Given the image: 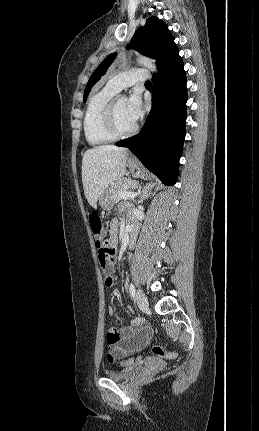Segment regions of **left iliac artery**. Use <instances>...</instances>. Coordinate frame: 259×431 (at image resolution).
<instances>
[{"label":"left iliac artery","instance_id":"44dca946","mask_svg":"<svg viewBox=\"0 0 259 431\" xmlns=\"http://www.w3.org/2000/svg\"><path fill=\"white\" fill-rule=\"evenodd\" d=\"M129 290H130L131 296L134 298L135 297V287L132 283H130V285H129Z\"/></svg>","mask_w":259,"mask_h":431}]
</instances>
